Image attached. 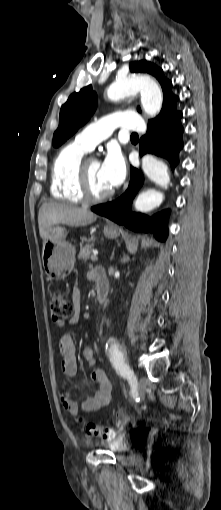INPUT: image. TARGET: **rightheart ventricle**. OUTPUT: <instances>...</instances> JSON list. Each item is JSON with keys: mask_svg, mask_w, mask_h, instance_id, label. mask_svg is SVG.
I'll return each mask as SVG.
<instances>
[{"mask_svg": "<svg viewBox=\"0 0 221 510\" xmlns=\"http://www.w3.org/2000/svg\"><path fill=\"white\" fill-rule=\"evenodd\" d=\"M88 150L73 141L55 157L51 169L50 193L56 199L79 204L82 199L77 187L78 167Z\"/></svg>", "mask_w": 221, "mask_h": 510, "instance_id": "right-heart-ventricle-1", "label": "right heart ventricle"}]
</instances>
